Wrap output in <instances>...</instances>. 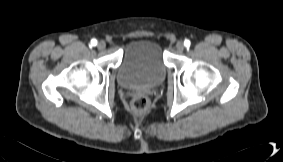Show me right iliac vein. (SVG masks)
Wrapping results in <instances>:
<instances>
[{
    "label": "right iliac vein",
    "mask_w": 283,
    "mask_h": 162,
    "mask_svg": "<svg viewBox=\"0 0 283 162\" xmlns=\"http://www.w3.org/2000/svg\"><path fill=\"white\" fill-rule=\"evenodd\" d=\"M105 47H106V43H105L104 41H100V42L98 43V45H97V48H98L99 50H104Z\"/></svg>",
    "instance_id": "1"
}]
</instances>
